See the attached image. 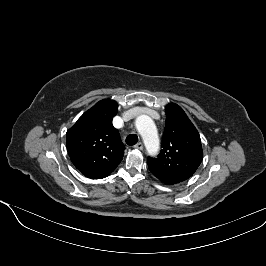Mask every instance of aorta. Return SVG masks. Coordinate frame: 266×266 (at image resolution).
Masks as SVG:
<instances>
[{"label":"aorta","instance_id":"1","mask_svg":"<svg viewBox=\"0 0 266 266\" xmlns=\"http://www.w3.org/2000/svg\"><path fill=\"white\" fill-rule=\"evenodd\" d=\"M135 126L142 136L148 153L156 154L159 150V139L153 120L148 115H140L136 118Z\"/></svg>","mask_w":266,"mask_h":266}]
</instances>
